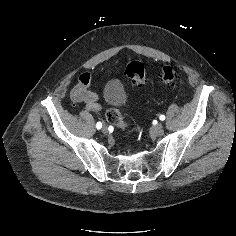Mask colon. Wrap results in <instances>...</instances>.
I'll use <instances>...</instances> for the list:
<instances>
[{"instance_id": "1", "label": "colon", "mask_w": 236, "mask_h": 236, "mask_svg": "<svg viewBox=\"0 0 236 236\" xmlns=\"http://www.w3.org/2000/svg\"><path fill=\"white\" fill-rule=\"evenodd\" d=\"M126 76L137 84H144L146 81L145 67L141 62H130L125 68ZM161 80L168 86H175L179 76L177 71L171 66H163L160 72ZM107 121L118 128H127V123L117 108H110L106 113Z\"/></svg>"}]
</instances>
